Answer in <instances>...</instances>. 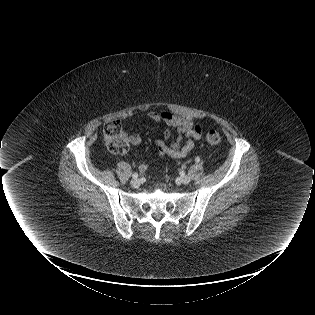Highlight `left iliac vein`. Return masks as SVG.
Wrapping results in <instances>:
<instances>
[{
	"mask_svg": "<svg viewBox=\"0 0 315 315\" xmlns=\"http://www.w3.org/2000/svg\"><path fill=\"white\" fill-rule=\"evenodd\" d=\"M190 181H191V177L188 175H182L180 177V182L183 184H188V183H190Z\"/></svg>",
	"mask_w": 315,
	"mask_h": 315,
	"instance_id": "obj_1",
	"label": "left iliac vein"
}]
</instances>
